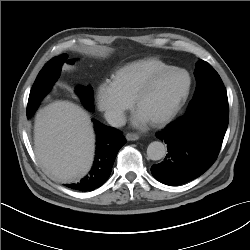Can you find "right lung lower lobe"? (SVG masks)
<instances>
[{
    "label": "right lung lower lobe",
    "mask_w": 250,
    "mask_h": 250,
    "mask_svg": "<svg viewBox=\"0 0 250 250\" xmlns=\"http://www.w3.org/2000/svg\"><path fill=\"white\" fill-rule=\"evenodd\" d=\"M97 134L96 156L89 174L78 183L66 186L78 191H92L102 186L109 178L119 149L126 143L122 133L93 120Z\"/></svg>",
    "instance_id": "1"
}]
</instances>
